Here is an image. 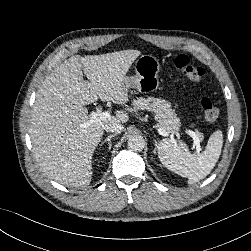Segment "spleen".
Returning a JSON list of instances; mask_svg holds the SVG:
<instances>
[{
	"label": "spleen",
	"instance_id": "3e777b00",
	"mask_svg": "<svg viewBox=\"0 0 251 251\" xmlns=\"http://www.w3.org/2000/svg\"><path fill=\"white\" fill-rule=\"evenodd\" d=\"M223 146L222 131H215L209 138L205 151L191 154L185 143L163 139L157 145L161 163L176 174L187 177L189 184L205 178L217 163Z\"/></svg>",
	"mask_w": 251,
	"mask_h": 251
}]
</instances>
